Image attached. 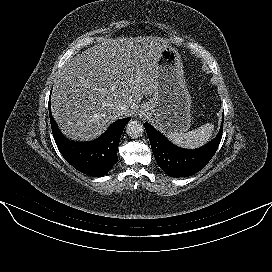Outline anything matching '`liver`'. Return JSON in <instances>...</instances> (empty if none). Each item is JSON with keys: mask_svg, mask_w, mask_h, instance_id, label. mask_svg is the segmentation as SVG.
<instances>
[{"mask_svg": "<svg viewBox=\"0 0 272 272\" xmlns=\"http://www.w3.org/2000/svg\"><path fill=\"white\" fill-rule=\"evenodd\" d=\"M168 39L154 36L106 38L70 59L54 84L51 110L62 133L93 140L154 94L158 61ZM127 105L119 115L118 104Z\"/></svg>", "mask_w": 272, "mask_h": 272, "instance_id": "6515ba94", "label": "liver"}]
</instances>
